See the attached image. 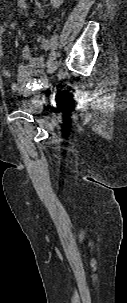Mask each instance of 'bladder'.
<instances>
[{"mask_svg":"<svg viewBox=\"0 0 127 303\" xmlns=\"http://www.w3.org/2000/svg\"><path fill=\"white\" fill-rule=\"evenodd\" d=\"M15 105L19 110L30 113H39L42 109L43 103L38 97L27 94L16 99Z\"/></svg>","mask_w":127,"mask_h":303,"instance_id":"obj_1","label":"bladder"}]
</instances>
